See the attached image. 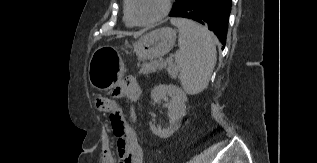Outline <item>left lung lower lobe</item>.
<instances>
[{
  "label": "left lung lower lobe",
  "instance_id": "0a47b994",
  "mask_svg": "<svg viewBox=\"0 0 317 163\" xmlns=\"http://www.w3.org/2000/svg\"><path fill=\"white\" fill-rule=\"evenodd\" d=\"M232 0H179L170 16L195 20L213 31L226 44Z\"/></svg>",
  "mask_w": 317,
  "mask_h": 163
}]
</instances>
